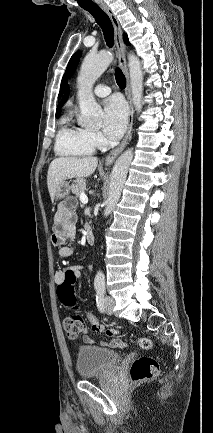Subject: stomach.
Returning <instances> with one entry per match:
<instances>
[{
    "label": "stomach",
    "mask_w": 213,
    "mask_h": 433,
    "mask_svg": "<svg viewBox=\"0 0 213 433\" xmlns=\"http://www.w3.org/2000/svg\"><path fill=\"white\" fill-rule=\"evenodd\" d=\"M69 192H70L69 184L67 182H62L56 190L55 197L56 199H64L69 195Z\"/></svg>",
    "instance_id": "stomach-1"
}]
</instances>
